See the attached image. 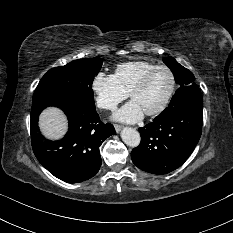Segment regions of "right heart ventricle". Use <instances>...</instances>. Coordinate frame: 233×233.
Here are the masks:
<instances>
[{"instance_id":"1","label":"right heart ventricle","mask_w":233,"mask_h":233,"mask_svg":"<svg viewBox=\"0 0 233 233\" xmlns=\"http://www.w3.org/2000/svg\"><path fill=\"white\" fill-rule=\"evenodd\" d=\"M156 66L158 65L145 60L128 61L118 64L113 76L120 87L129 93L140 78Z\"/></svg>"}]
</instances>
